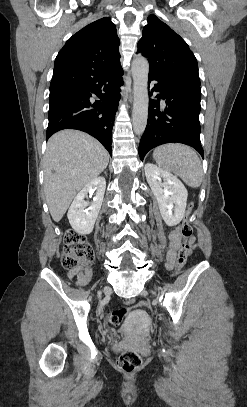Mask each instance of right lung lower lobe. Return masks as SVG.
Segmentation results:
<instances>
[{
  "label": "right lung lower lobe",
  "instance_id": "1",
  "mask_svg": "<svg viewBox=\"0 0 247 407\" xmlns=\"http://www.w3.org/2000/svg\"><path fill=\"white\" fill-rule=\"evenodd\" d=\"M122 75L120 65L96 74L81 87V91L50 100L46 139L62 129H77L98 139L111 155L112 128L121 97ZM91 93L100 100L91 104Z\"/></svg>",
  "mask_w": 247,
  "mask_h": 407
}]
</instances>
